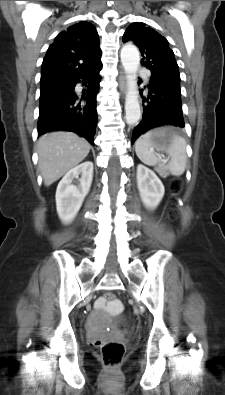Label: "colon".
<instances>
[{
  "label": "colon",
  "instance_id": "5ec220e1",
  "mask_svg": "<svg viewBox=\"0 0 225 395\" xmlns=\"http://www.w3.org/2000/svg\"><path fill=\"white\" fill-rule=\"evenodd\" d=\"M181 190L182 181L180 179L172 180L170 183L172 197L178 195ZM167 215L169 218L174 219L176 216L174 209L169 208L167 210ZM105 297L108 303L115 298L112 294H107ZM94 346L99 349L102 362L108 368H116L119 366L125 356V342L120 339L98 341L94 343Z\"/></svg>",
  "mask_w": 225,
  "mask_h": 395
}]
</instances>
